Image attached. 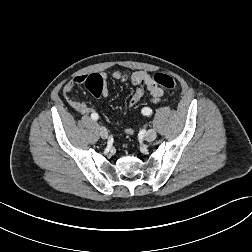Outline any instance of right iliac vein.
I'll use <instances>...</instances> for the list:
<instances>
[{
  "instance_id": "right-iliac-vein-1",
  "label": "right iliac vein",
  "mask_w": 252,
  "mask_h": 252,
  "mask_svg": "<svg viewBox=\"0 0 252 252\" xmlns=\"http://www.w3.org/2000/svg\"><path fill=\"white\" fill-rule=\"evenodd\" d=\"M100 136L103 138V139H107L108 138V131L105 127H101L100 128Z\"/></svg>"
}]
</instances>
